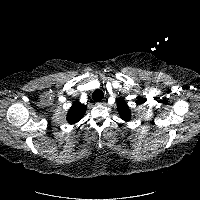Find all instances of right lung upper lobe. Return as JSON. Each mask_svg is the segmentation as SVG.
<instances>
[{
	"label": "right lung upper lobe",
	"instance_id": "cb5924a9",
	"mask_svg": "<svg viewBox=\"0 0 200 200\" xmlns=\"http://www.w3.org/2000/svg\"><path fill=\"white\" fill-rule=\"evenodd\" d=\"M87 107L79 102L72 105L67 113V121L69 124H75L78 122L85 114Z\"/></svg>",
	"mask_w": 200,
	"mask_h": 200
}]
</instances>
